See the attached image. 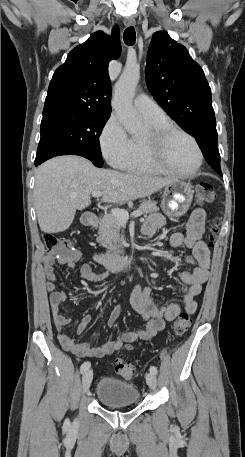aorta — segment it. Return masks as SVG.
<instances>
[{"label": "aorta", "mask_w": 245, "mask_h": 457, "mask_svg": "<svg viewBox=\"0 0 245 457\" xmlns=\"http://www.w3.org/2000/svg\"><path fill=\"white\" fill-rule=\"evenodd\" d=\"M140 78L136 67L126 66L115 84L112 106L118 119L129 133L138 134L144 129L143 124L133 108L132 100Z\"/></svg>", "instance_id": "762f6f07"}]
</instances>
